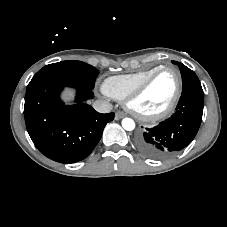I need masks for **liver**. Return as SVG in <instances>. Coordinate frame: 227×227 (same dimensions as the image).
<instances>
[{
	"label": "liver",
	"mask_w": 227,
	"mask_h": 227,
	"mask_svg": "<svg viewBox=\"0 0 227 227\" xmlns=\"http://www.w3.org/2000/svg\"><path fill=\"white\" fill-rule=\"evenodd\" d=\"M62 98L64 101L72 100L74 98V90L66 89L62 94Z\"/></svg>",
	"instance_id": "1"
}]
</instances>
